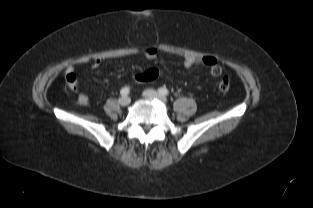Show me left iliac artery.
Here are the masks:
<instances>
[{"instance_id": "44dca946", "label": "left iliac artery", "mask_w": 313, "mask_h": 208, "mask_svg": "<svg viewBox=\"0 0 313 208\" xmlns=\"http://www.w3.org/2000/svg\"><path fill=\"white\" fill-rule=\"evenodd\" d=\"M158 92H159V94H161V95H168L169 94V91H168V89L167 88H165V87H163V88H159L158 89Z\"/></svg>"}]
</instances>
